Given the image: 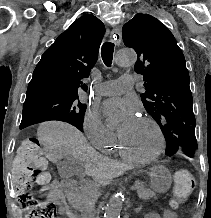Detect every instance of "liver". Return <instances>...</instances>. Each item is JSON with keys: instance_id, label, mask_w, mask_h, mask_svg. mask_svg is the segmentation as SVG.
Wrapping results in <instances>:
<instances>
[{"instance_id": "liver-1", "label": "liver", "mask_w": 211, "mask_h": 218, "mask_svg": "<svg viewBox=\"0 0 211 218\" xmlns=\"http://www.w3.org/2000/svg\"><path fill=\"white\" fill-rule=\"evenodd\" d=\"M37 136L53 152L54 158L67 156L77 160L84 166L85 174L100 184H110L113 178H118L127 170L125 164H116L114 160L94 152L86 144L83 134L65 122H45L39 126Z\"/></svg>"}]
</instances>
